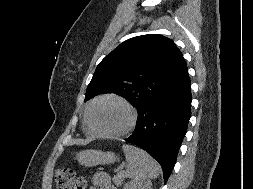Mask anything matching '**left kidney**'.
<instances>
[{"mask_svg":"<svg viewBox=\"0 0 253 189\" xmlns=\"http://www.w3.org/2000/svg\"><path fill=\"white\" fill-rule=\"evenodd\" d=\"M152 183L145 180H131L127 182L123 189H152Z\"/></svg>","mask_w":253,"mask_h":189,"instance_id":"left-kidney-1","label":"left kidney"}]
</instances>
